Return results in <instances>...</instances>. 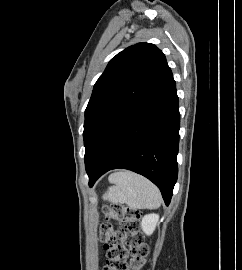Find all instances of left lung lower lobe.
Returning <instances> with one entry per match:
<instances>
[{
  "instance_id": "left-lung-lower-lobe-1",
  "label": "left lung lower lobe",
  "mask_w": 242,
  "mask_h": 270,
  "mask_svg": "<svg viewBox=\"0 0 242 270\" xmlns=\"http://www.w3.org/2000/svg\"><path fill=\"white\" fill-rule=\"evenodd\" d=\"M180 114L170 72L112 129L86 170L89 186L109 170L141 174L160 189L169 205L177 181Z\"/></svg>"
}]
</instances>
